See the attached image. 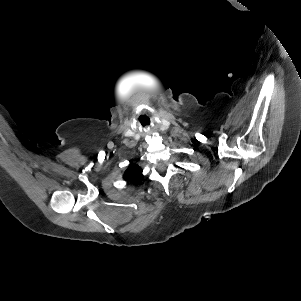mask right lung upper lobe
<instances>
[{
    "mask_svg": "<svg viewBox=\"0 0 301 301\" xmlns=\"http://www.w3.org/2000/svg\"><path fill=\"white\" fill-rule=\"evenodd\" d=\"M123 178L130 183L139 184L143 178L142 169L136 164H130L123 175Z\"/></svg>",
    "mask_w": 301,
    "mask_h": 301,
    "instance_id": "obj_1",
    "label": "right lung upper lobe"
}]
</instances>
